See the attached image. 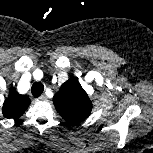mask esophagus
Segmentation results:
<instances>
[{"label": "esophagus", "mask_w": 153, "mask_h": 153, "mask_svg": "<svg viewBox=\"0 0 153 153\" xmlns=\"http://www.w3.org/2000/svg\"><path fill=\"white\" fill-rule=\"evenodd\" d=\"M39 101H46L47 100V97L45 95H41L39 98H38Z\"/></svg>", "instance_id": "obj_1"}]
</instances>
